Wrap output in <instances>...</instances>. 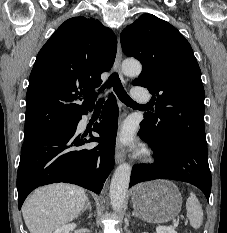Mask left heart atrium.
Listing matches in <instances>:
<instances>
[{
	"label": "left heart atrium",
	"instance_id": "39dd6f15",
	"mask_svg": "<svg viewBox=\"0 0 227 233\" xmlns=\"http://www.w3.org/2000/svg\"><path fill=\"white\" fill-rule=\"evenodd\" d=\"M117 141L124 146H132L134 144L133 129L129 124H124L117 134Z\"/></svg>",
	"mask_w": 227,
	"mask_h": 233
}]
</instances>
